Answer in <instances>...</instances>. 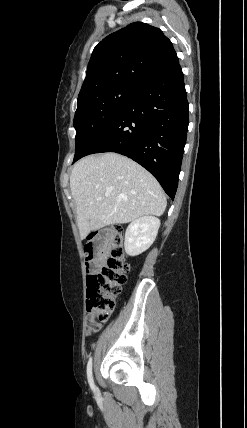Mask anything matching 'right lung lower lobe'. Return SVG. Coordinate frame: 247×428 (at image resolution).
Segmentation results:
<instances>
[{"label":"right lung lower lobe","instance_id":"right-lung-lower-lobe-1","mask_svg":"<svg viewBox=\"0 0 247 428\" xmlns=\"http://www.w3.org/2000/svg\"><path fill=\"white\" fill-rule=\"evenodd\" d=\"M183 72L176 62L144 86L78 159L116 152L146 168L174 199L188 129Z\"/></svg>","mask_w":247,"mask_h":428}]
</instances>
